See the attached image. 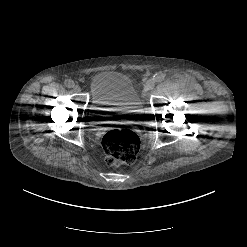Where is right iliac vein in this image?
Here are the masks:
<instances>
[{
	"instance_id": "obj_1",
	"label": "right iliac vein",
	"mask_w": 247,
	"mask_h": 247,
	"mask_svg": "<svg viewBox=\"0 0 247 247\" xmlns=\"http://www.w3.org/2000/svg\"><path fill=\"white\" fill-rule=\"evenodd\" d=\"M73 89H74L75 92H80L81 91V88H80L79 85H74Z\"/></svg>"
}]
</instances>
